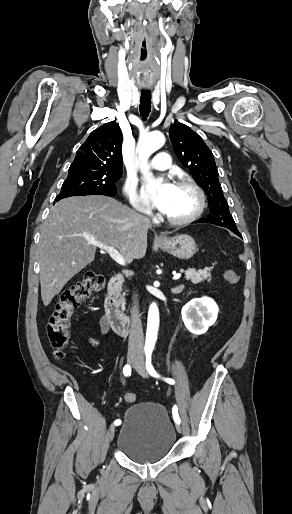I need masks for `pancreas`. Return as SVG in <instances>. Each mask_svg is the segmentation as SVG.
I'll return each mask as SVG.
<instances>
[{
  "label": "pancreas",
  "mask_w": 292,
  "mask_h": 514,
  "mask_svg": "<svg viewBox=\"0 0 292 514\" xmlns=\"http://www.w3.org/2000/svg\"><path fill=\"white\" fill-rule=\"evenodd\" d=\"M211 268H205V270H194V268H189V270H186L185 272V278L186 280H191L193 284H199V282H211V274H210ZM125 296V294H124Z\"/></svg>",
  "instance_id": "1"
}]
</instances>
